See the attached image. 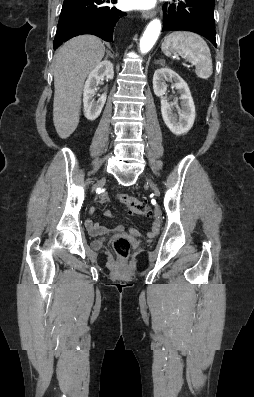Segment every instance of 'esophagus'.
Returning a JSON list of instances; mask_svg holds the SVG:
<instances>
[{
    "mask_svg": "<svg viewBox=\"0 0 254 397\" xmlns=\"http://www.w3.org/2000/svg\"><path fill=\"white\" fill-rule=\"evenodd\" d=\"M154 15H155V12H154V11H146V12H143L142 17H143L144 19H150V18H152Z\"/></svg>",
    "mask_w": 254,
    "mask_h": 397,
    "instance_id": "1",
    "label": "esophagus"
}]
</instances>
